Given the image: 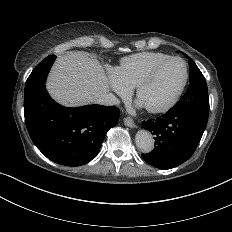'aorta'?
Returning <instances> with one entry per match:
<instances>
[{"label":"aorta","instance_id":"obj_1","mask_svg":"<svg viewBox=\"0 0 232 232\" xmlns=\"http://www.w3.org/2000/svg\"><path fill=\"white\" fill-rule=\"evenodd\" d=\"M136 145L142 153H149L154 148V139L146 130H139L135 136Z\"/></svg>","mask_w":232,"mask_h":232}]
</instances>
